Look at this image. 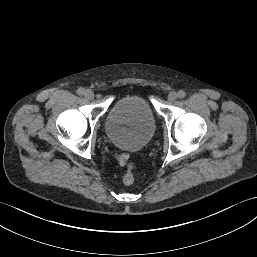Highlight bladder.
<instances>
[{
    "instance_id": "31cf9c89",
    "label": "bladder",
    "mask_w": 257,
    "mask_h": 257,
    "mask_svg": "<svg viewBox=\"0 0 257 257\" xmlns=\"http://www.w3.org/2000/svg\"><path fill=\"white\" fill-rule=\"evenodd\" d=\"M156 130L152 110L138 94H126L115 100L105 121L107 138L117 147L130 151L147 146Z\"/></svg>"
}]
</instances>
